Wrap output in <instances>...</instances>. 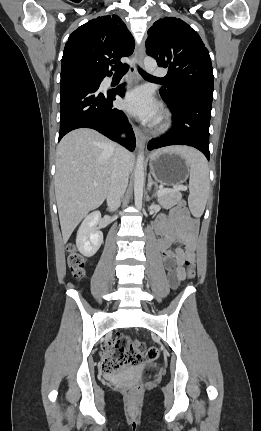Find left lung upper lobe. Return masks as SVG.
Listing matches in <instances>:
<instances>
[{"label":"left lung upper lobe","instance_id":"1","mask_svg":"<svg viewBox=\"0 0 261 431\" xmlns=\"http://www.w3.org/2000/svg\"><path fill=\"white\" fill-rule=\"evenodd\" d=\"M147 53L160 67H168L169 84L160 89L168 100L187 94L213 96V69L198 33L181 19L165 17L148 30Z\"/></svg>","mask_w":261,"mask_h":431}]
</instances>
